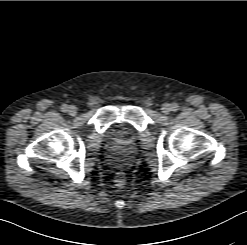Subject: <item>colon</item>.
<instances>
[{
    "mask_svg": "<svg viewBox=\"0 0 247 245\" xmlns=\"http://www.w3.org/2000/svg\"><path fill=\"white\" fill-rule=\"evenodd\" d=\"M115 182L118 187H123L125 185V175L123 172L117 173Z\"/></svg>",
    "mask_w": 247,
    "mask_h": 245,
    "instance_id": "obj_1",
    "label": "colon"
}]
</instances>
